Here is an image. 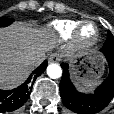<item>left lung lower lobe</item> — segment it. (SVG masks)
I'll list each match as a JSON object with an SVG mask.
<instances>
[{
	"label": "left lung lower lobe",
	"mask_w": 114,
	"mask_h": 114,
	"mask_svg": "<svg viewBox=\"0 0 114 114\" xmlns=\"http://www.w3.org/2000/svg\"><path fill=\"white\" fill-rule=\"evenodd\" d=\"M106 57L110 72L94 94L79 93L69 79L68 64L62 63V79L59 84L63 104L79 114H95L104 109L114 97V48L101 49Z\"/></svg>",
	"instance_id": "obj_1"
}]
</instances>
